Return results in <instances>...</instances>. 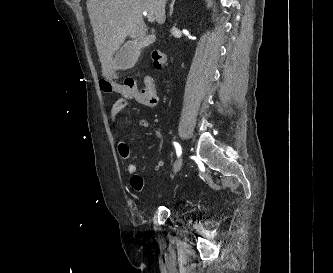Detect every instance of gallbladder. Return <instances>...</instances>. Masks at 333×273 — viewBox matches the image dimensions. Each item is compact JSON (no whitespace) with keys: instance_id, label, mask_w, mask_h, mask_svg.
<instances>
[{"instance_id":"obj_1","label":"gallbladder","mask_w":333,"mask_h":273,"mask_svg":"<svg viewBox=\"0 0 333 273\" xmlns=\"http://www.w3.org/2000/svg\"><path fill=\"white\" fill-rule=\"evenodd\" d=\"M144 43L137 41H128L116 54L118 69H131L137 62Z\"/></svg>"}]
</instances>
